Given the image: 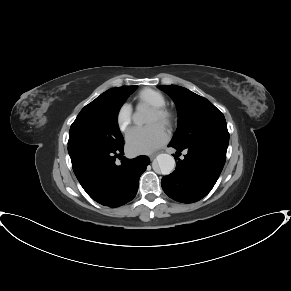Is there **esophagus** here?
I'll return each mask as SVG.
<instances>
[{"label":"esophagus","mask_w":291,"mask_h":291,"mask_svg":"<svg viewBox=\"0 0 291 291\" xmlns=\"http://www.w3.org/2000/svg\"><path fill=\"white\" fill-rule=\"evenodd\" d=\"M158 155V153H153L149 156L150 160H153L156 156Z\"/></svg>","instance_id":"esophagus-1"}]
</instances>
